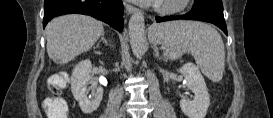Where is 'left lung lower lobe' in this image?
<instances>
[{"instance_id":"obj_1","label":"left lung lower lobe","mask_w":273,"mask_h":118,"mask_svg":"<svg viewBox=\"0 0 273 118\" xmlns=\"http://www.w3.org/2000/svg\"><path fill=\"white\" fill-rule=\"evenodd\" d=\"M182 20V19H188V20H199L204 22L212 23L216 26H218L226 35H227V27L224 20V16L221 14L204 11V10H195L192 9L190 12L184 14V15H178V16H166V17H156V22H165V21H172V20Z\"/></svg>"}]
</instances>
